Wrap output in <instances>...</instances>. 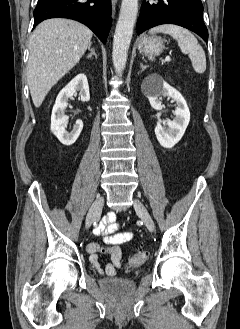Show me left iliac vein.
Listing matches in <instances>:
<instances>
[{
  "label": "left iliac vein",
  "instance_id": "obj_1",
  "mask_svg": "<svg viewBox=\"0 0 240 329\" xmlns=\"http://www.w3.org/2000/svg\"><path fill=\"white\" fill-rule=\"evenodd\" d=\"M134 209L137 212V214L139 215V217L142 219V221L144 222L146 228L150 232H153L154 231V222H153L151 216L149 215L147 209L145 208V206L139 200H135Z\"/></svg>",
  "mask_w": 240,
  "mask_h": 329
}]
</instances>
